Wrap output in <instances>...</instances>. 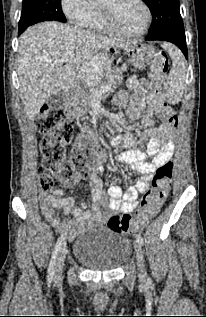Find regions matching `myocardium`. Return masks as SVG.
Returning a JSON list of instances; mask_svg holds the SVG:
<instances>
[{"label":"myocardium","mask_w":206,"mask_h":317,"mask_svg":"<svg viewBox=\"0 0 206 317\" xmlns=\"http://www.w3.org/2000/svg\"><path fill=\"white\" fill-rule=\"evenodd\" d=\"M137 2L143 7L145 12V22L141 30L135 33H125L118 29V27L114 24L112 13L109 7L100 5L101 12L103 15V19L106 25L107 30L111 33L124 37V38H138L143 36L149 29L151 20H152V12L149 5L146 3L145 0H137Z\"/></svg>","instance_id":"f54148a6"}]
</instances>
